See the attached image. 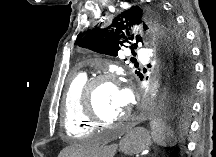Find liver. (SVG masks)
Segmentation results:
<instances>
[{"instance_id": "obj_1", "label": "liver", "mask_w": 216, "mask_h": 157, "mask_svg": "<svg viewBox=\"0 0 216 157\" xmlns=\"http://www.w3.org/2000/svg\"><path fill=\"white\" fill-rule=\"evenodd\" d=\"M109 151V147L99 148L88 142H82L67 147L59 154V157H105Z\"/></svg>"}]
</instances>
